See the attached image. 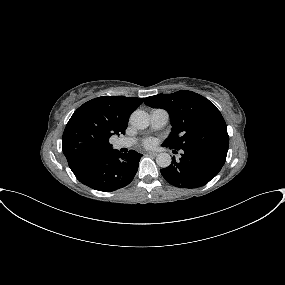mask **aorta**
<instances>
[{
    "label": "aorta",
    "instance_id": "obj_1",
    "mask_svg": "<svg viewBox=\"0 0 285 285\" xmlns=\"http://www.w3.org/2000/svg\"><path fill=\"white\" fill-rule=\"evenodd\" d=\"M129 122L133 128L144 130L149 126V117L143 111H135L131 114ZM171 161V156L168 153H160L156 157V163L161 168L170 166Z\"/></svg>",
    "mask_w": 285,
    "mask_h": 285
}]
</instances>
